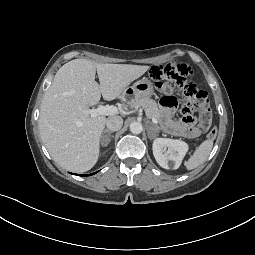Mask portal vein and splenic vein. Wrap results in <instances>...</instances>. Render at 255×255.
Instances as JSON below:
<instances>
[{
  "label": "portal vein and splenic vein",
  "mask_w": 255,
  "mask_h": 255,
  "mask_svg": "<svg viewBox=\"0 0 255 255\" xmlns=\"http://www.w3.org/2000/svg\"><path fill=\"white\" fill-rule=\"evenodd\" d=\"M89 113L91 117H96L98 115H115L121 112V109L113 105H99L96 109L85 110ZM152 122L157 124L158 121L155 118H152Z\"/></svg>",
  "instance_id": "18ae733b"
}]
</instances>
